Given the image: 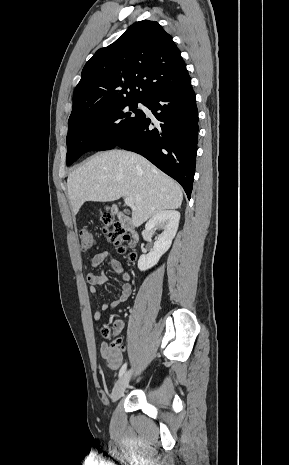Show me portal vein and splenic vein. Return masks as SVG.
<instances>
[{
    "mask_svg": "<svg viewBox=\"0 0 289 465\" xmlns=\"http://www.w3.org/2000/svg\"><path fill=\"white\" fill-rule=\"evenodd\" d=\"M125 205H127V206L133 208V206H134V200H133V198H130V197L126 198V199H125Z\"/></svg>",
    "mask_w": 289,
    "mask_h": 465,
    "instance_id": "1",
    "label": "portal vein and splenic vein"
}]
</instances>
